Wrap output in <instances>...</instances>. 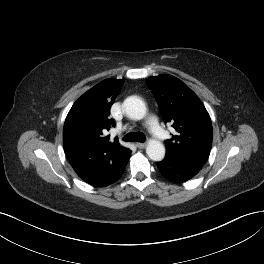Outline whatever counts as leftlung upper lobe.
<instances>
[{"label":"left lung upper lobe","instance_id":"left-lung-upper-lobe-1","mask_svg":"<svg viewBox=\"0 0 264 264\" xmlns=\"http://www.w3.org/2000/svg\"><path fill=\"white\" fill-rule=\"evenodd\" d=\"M147 84L158 102L165 123L176 135L166 141V158L182 164L202 166L213 139L211 119L197 95L171 75L149 77Z\"/></svg>","mask_w":264,"mask_h":264}]
</instances>
